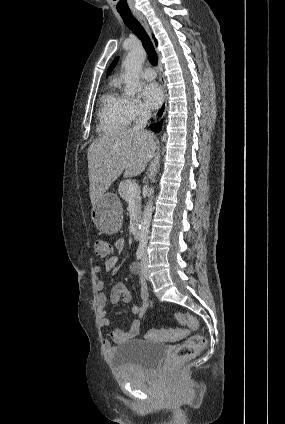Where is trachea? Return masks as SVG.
Returning <instances> with one entry per match:
<instances>
[{"label": "trachea", "instance_id": "trachea-1", "mask_svg": "<svg viewBox=\"0 0 285 424\" xmlns=\"http://www.w3.org/2000/svg\"><path fill=\"white\" fill-rule=\"evenodd\" d=\"M121 15L125 25L141 40L143 46L145 47L148 53L149 62L153 66H157L158 58L156 51L153 47V44L146 33L145 29L138 22V20L132 15L130 10L127 11H118Z\"/></svg>", "mask_w": 285, "mask_h": 424}]
</instances>
